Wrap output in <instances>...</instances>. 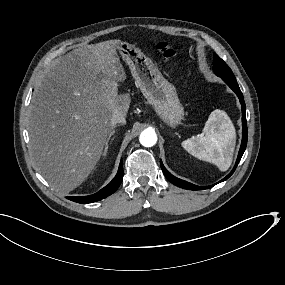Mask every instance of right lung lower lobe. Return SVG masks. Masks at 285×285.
I'll list each match as a JSON object with an SVG mask.
<instances>
[{
  "label": "right lung lower lobe",
  "mask_w": 285,
  "mask_h": 285,
  "mask_svg": "<svg viewBox=\"0 0 285 285\" xmlns=\"http://www.w3.org/2000/svg\"><path fill=\"white\" fill-rule=\"evenodd\" d=\"M122 179H123V163L121 160L116 176L103 189H101L100 191H98L97 193H95L93 195L77 196V197L71 196V197H67V199L74 201V202H77V203H92V202L99 201V200L104 199L107 196L113 194L118 189V187L120 186Z\"/></svg>",
  "instance_id": "right-lung-lower-lobe-1"
}]
</instances>
